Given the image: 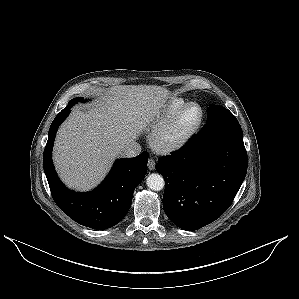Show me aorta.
<instances>
[{
  "label": "aorta",
  "instance_id": "762f6f07",
  "mask_svg": "<svg viewBox=\"0 0 299 299\" xmlns=\"http://www.w3.org/2000/svg\"><path fill=\"white\" fill-rule=\"evenodd\" d=\"M146 184L151 190L154 191H160L165 186L163 177L158 173L150 174L146 179Z\"/></svg>",
  "mask_w": 299,
  "mask_h": 299
}]
</instances>
